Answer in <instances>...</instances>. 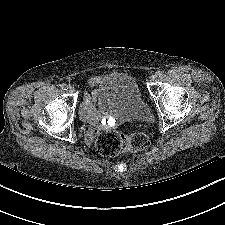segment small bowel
<instances>
[{
	"mask_svg": "<svg viewBox=\"0 0 225 225\" xmlns=\"http://www.w3.org/2000/svg\"><path fill=\"white\" fill-rule=\"evenodd\" d=\"M99 81H100L99 77L91 78L90 86L96 87ZM95 103H96L95 92L91 93L86 92L84 94L83 102L79 110L81 120L91 124V126L85 128L86 140L88 142H91L93 140L96 132V128L93 125L96 115Z\"/></svg>",
	"mask_w": 225,
	"mask_h": 225,
	"instance_id": "small-bowel-1",
	"label": "small bowel"
}]
</instances>
